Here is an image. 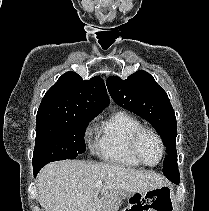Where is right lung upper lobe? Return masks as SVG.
Wrapping results in <instances>:
<instances>
[{
    "instance_id": "1",
    "label": "right lung upper lobe",
    "mask_w": 209,
    "mask_h": 211,
    "mask_svg": "<svg viewBox=\"0 0 209 211\" xmlns=\"http://www.w3.org/2000/svg\"><path fill=\"white\" fill-rule=\"evenodd\" d=\"M108 104L109 98L102 78L96 76L83 80L77 73L69 71L46 92L36 120L95 117Z\"/></svg>"
}]
</instances>
